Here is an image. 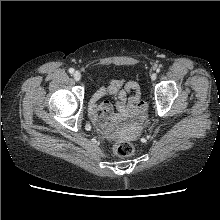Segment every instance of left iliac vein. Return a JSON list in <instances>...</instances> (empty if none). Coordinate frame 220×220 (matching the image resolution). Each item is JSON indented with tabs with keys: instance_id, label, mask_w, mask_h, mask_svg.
Returning a JSON list of instances; mask_svg holds the SVG:
<instances>
[{
	"instance_id": "left-iliac-vein-1",
	"label": "left iliac vein",
	"mask_w": 220,
	"mask_h": 220,
	"mask_svg": "<svg viewBox=\"0 0 220 220\" xmlns=\"http://www.w3.org/2000/svg\"><path fill=\"white\" fill-rule=\"evenodd\" d=\"M156 79V73H152L151 80L154 81Z\"/></svg>"
}]
</instances>
